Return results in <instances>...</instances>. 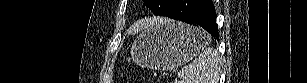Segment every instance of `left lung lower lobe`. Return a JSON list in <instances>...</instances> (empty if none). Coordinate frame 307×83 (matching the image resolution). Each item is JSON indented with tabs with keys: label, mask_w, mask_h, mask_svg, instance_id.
<instances>
[{
	"label": "left lung lower lobe",
	"mask_w": 307,
	"mask_h": 83,
	"mask_svg": "<svg viewBox=\"0 0 307 83\" xmlns=\"http://www.w3.org/2000/svg\"><path fill=\"white\" fill-rule=\"evenodd\" d=\"M165 16L188 24L200 25L217 40L219 39L217 15L211 0H174Z\"/></svg>",
	"instance_id": "0a47b994"
}]
</instances>
